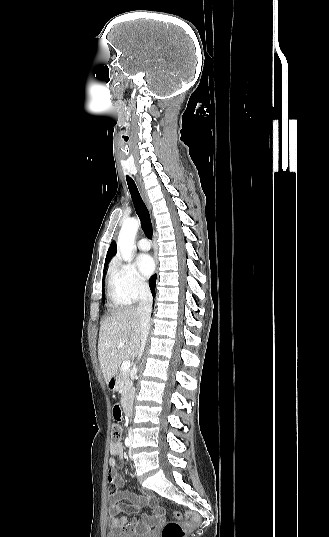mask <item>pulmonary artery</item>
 I'll use <instances>...</instances> for the list:
<instances>
[{"label": "pulmonary artery", "mask_w": 329, "mask_h": 537, "mask_svg": "<svg viewBox=\"0 0 329 537\" xmlns=\"http://www.w3.org/2000/svg\"><path fill=\"white\" fill-rule=\"evenodd\" d=\"M137 247L141 251H148L150 249V242L146 238L140 239L137 243Z\"/></svg>", "instance_id": "obj_1"}]
</instances>
